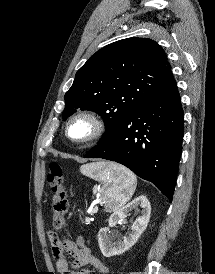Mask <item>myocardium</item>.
I'll use <instances>...</instances> for the list:
<instances>
[{
    "label": "myocardium",
    "mask_w": 215,
    "mask_h": 274,
    "mask_svg": "<svg viewBox=\"0 0 215 274\" xmlns=\"http://www.w3.org/2000/svg\"><path fill=\"white\" fill-rule=\"evenodd\" d=\"M77 120H85L91 126L90 133L81 139H74L69 134V128L72 123ZM106 132V123L105 121L99 117L97 114L91 111H79L73 115H71L65 123L64 133L66 138L74 144L77 145H87L90 144L99 138H101Z\"/></svg>",
    "instance_id": "1"
}]
</instances>
